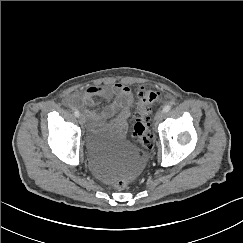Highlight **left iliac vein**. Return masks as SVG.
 Returning a JSON list of instances; mask_svg holds the SVG:
<instances>
[{
	"label": "left iliac vein",
	"instance_id": "obj_1",
	"mask_svg": "<svg viewBox=\"0 0 243 243\" xmlns=\"http://www.w3.org/2000/svg\"><path fill=\"white\" fill-rule=\"evenodd\" d=\"M163 117H164V111L159 110L155 115V121L160 122L163 119Z\"/></svg>",
	"mask_w": 243,
	"mask_h": 243
}]
</instances>
